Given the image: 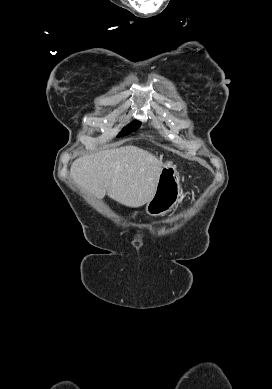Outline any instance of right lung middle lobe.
Listing matches in <instances>:
<instances>
[{
    "mask_svg": "<svg viewBox=\"0 0 272 389\" xmlns=\"http://www.w3.org/2000/svg\"><path fill=\"white\" fill-rule=\"evenodd\" d=\"M139 123L137 121L129 124L128 126L124 127L123 130L118 134V137L120 136H124V135H127L129 133H131L132 131H134L136 128L139 127Z\"/></svg>",
    "mask_w": 272,
    "mask_h": 389,
    "instance_id": "dd1d6c3e",
    "label": "right lung middle lobe"
}]
</instances>
